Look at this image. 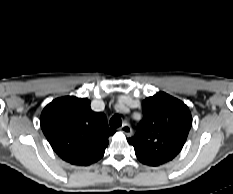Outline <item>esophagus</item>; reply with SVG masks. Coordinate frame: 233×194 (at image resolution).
Wrapping results in <instances>:
<instances>
[{
    "label": "esophagus",
    "mask_w": 233,
    "mask_h": 194,
    "mask_svg": "<svg viewBox=\"0 0 233 194\" xmlns=\"http://www.w3.org/2000/svg\"><path fill=\"white\" fill-rule=\"evenodd\" d=\"M126 136L130 137L132 135V128L129 124H124L119 128Z\"/></svg>",
    "instance_id": "34e87169"
}]
</instances>
